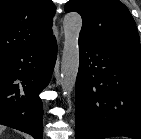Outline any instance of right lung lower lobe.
<instances>
[{
    "label": "right lung lower lobe",
    "mask_w": 141,
    "mask_h": 139,
    "mask_svg": "<svg viewBox=\"0 0 141 139\" xmlns=\"http://www.w3.org/2000/svg\"><path fill=\"white\" fill-rule=\"evenodd\" d=\"M57 56L54 35L0 55V124L43 137L39 97L48 85Z\"/></svg>",
    "instance_id": "1"
}]
</instances>
